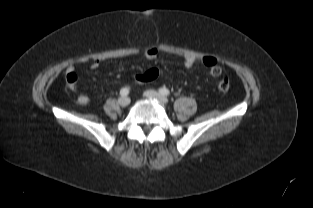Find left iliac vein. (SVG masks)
Instances as JSON below:
<instances>
[{
  "mask_svg": "<svg viewBox=\"0 0 313 208\" xmlns=\"http://www.w3.org/2000/svg\"><path fill=\"white\" fill-rule=\"evenodd\" d=\"M144 95L148 99L157 100V101H159L160 103H163V104H166L168 102V99L164 95L159 94V93H157L154 90H147L144 93Z\"/></svg>",
  "mask_w": 313,
  "mask_h": 208,
  "instance_id": "left-iliac-vein-1",
  "label": "left iliac vein"
}]
</instances>
